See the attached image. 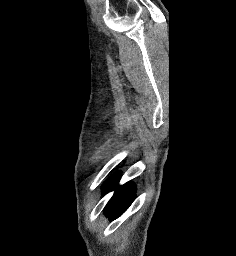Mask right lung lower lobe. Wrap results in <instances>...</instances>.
Wrapping results in <instances>:
<instances>
[{"mask_svg": "<svg viewBox=\"0 0 236 256\" xmlns=\"http://www.w3.org/2000/svg\"><path fill=\"white\" fill-rule=\"evenodd\" d=\"M119 176L111 177L104 185V194L116 189L113 197L106 205V216L110 220H114L121 216L127 208L131 205L135 197V186L133 183L128 182L122 186L117 187Z\"/></svg>", "mask_w": 236, "mask_h": 256, "instance_id": "98d812e1", "label": "right lung lower lobe"}]
</instances>
